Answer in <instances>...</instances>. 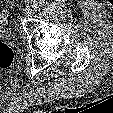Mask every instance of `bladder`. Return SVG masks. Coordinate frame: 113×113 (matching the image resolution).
Masks as SVG:
<instances>
[{
  "instance_id": "obj_1",
  "label": "bladder",
  "mask_w": 113,
  "mask_h": 113,
  "mask_svg": "<svg viewBox=\"0 0 113 113\" xmlns=\"http://www.w3.org/2000/svg\"><path fill=\"white\" fill-rule=\"evenodd\" d=\"M5 27V17L2 13H0V32L3 31Z\"/></svg>"
}]
</instances>
